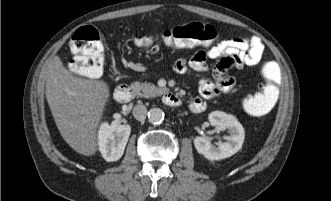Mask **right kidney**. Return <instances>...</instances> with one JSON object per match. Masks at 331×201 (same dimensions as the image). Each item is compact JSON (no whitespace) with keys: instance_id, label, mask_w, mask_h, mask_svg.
I'll list each match as a JSON object with an SVG mask.
<instances>
[{"instance_id":"right-kidney-1","label":"right kidney","mask_w":331,"mask_h":201,"mask_svg":"<svg viewBox=\"0 0 331 201\" xmlns=\"http://www.w3.org/2000/svg\"><path fill=\"white\" fill-rule=\"evenodd\" d=\"M130 132L129 125L117 123L109 125L107 122L101 124L98 132V145L99 151L106 161H117L122 157Z\"/></svg>"}]
</instances>
